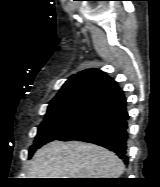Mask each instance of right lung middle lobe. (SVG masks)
I'll list each match as a JSON object with an SVG mask.
<instances>
[{"mask_svg":"<svg viewBox=\"0 0 160 187\" xmlns=\"http://www.w3.org/2000/svg\"><path fill=\"white\" fill-rule=\"evenodd\" d=\"M96 104L70 103L48 108L44 121L38 128L34 144L29 149V158L44 144L56 140L85 119Z\"/></svg>","mask_w":160,"mask_h":187,"instance_id":"dd1d6c3e","label":"right lung middle lobe"}]
</instances>
